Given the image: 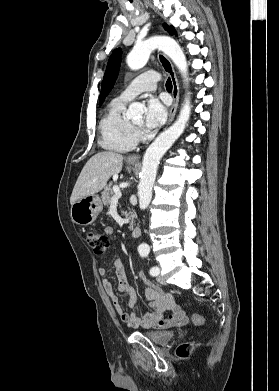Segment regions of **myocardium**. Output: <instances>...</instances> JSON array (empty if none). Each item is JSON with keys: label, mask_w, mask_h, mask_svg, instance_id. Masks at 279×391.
Listing matches in <instances>:
<instances>
[{"label": "myocardium", "mask_w": 279, "mask_h": 391, "mask_svg": "<svg viewBox=\"0 0 279 391\" xmlns=\"http://www.w3.org/2000/svg\"><path fill=\"white\" fill-rule=\"evenodd\" d=\"M135 127H139V125L134 124Z\"/></svg>", "instance_id": "1"}]
</instances>
